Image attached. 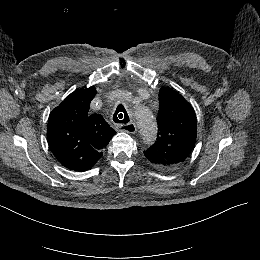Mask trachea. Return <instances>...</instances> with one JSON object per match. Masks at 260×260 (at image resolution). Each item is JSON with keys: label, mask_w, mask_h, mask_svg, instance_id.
I'll use <instances>...</instances> for the list:
<instances>
[{"label": "trachea", "mask_w": 260, "mask_h": 260, "mask_svg": "<svg viewBox=\"0 0 260 260\" xmlns=\"http://www.w3.org/2000/svg\"><path fill=\"white\" fill-rule=\"evenodd\" d=\"M113 121L121 124H127L129 122L128 113L122 104L117 106L116 111L113 114Z\"/></svg>", "instance_id": "obj_1"}]
</instances>
